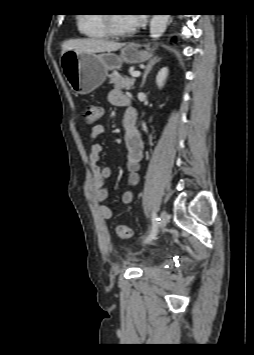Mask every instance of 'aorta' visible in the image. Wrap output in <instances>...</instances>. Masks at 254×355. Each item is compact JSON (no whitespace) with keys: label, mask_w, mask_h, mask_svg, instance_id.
Segmentation results:
<instances>
[{"label":"aorta","mask_w":254,"mask_h":355,"mask_svg":"<svg viewBox=\"0 0 254 355\" xmlns=\"http://www.w3.org/2000/svg\"><path fill=\"white\" fill-rule=\"evenodd\" d=\"M169 20L168 14H156L153 15L150 22V36L153 39H159L165 32L167 22Z\"/></svg>","instance_id":"1"}]
</instances>
